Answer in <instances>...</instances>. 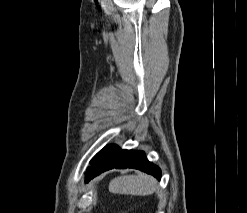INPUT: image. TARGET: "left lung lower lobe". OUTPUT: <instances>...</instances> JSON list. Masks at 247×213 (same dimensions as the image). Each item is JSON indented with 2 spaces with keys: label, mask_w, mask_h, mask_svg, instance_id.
Wrapping results in <instances>:
<instances>
[{
  "label": "left lung lower lobe",
  "mask_w": 247,
  "mask_h": 213,
  "mask_svg": "<svg viewBox=\"0 0 247 213\" xmlns=\"http://www.w3.org/2000/svg\"><path fill=\"white\" fill-rule=\"evenodd\" d=\"M90 164L85 182L113 168H135L151 174L158 180L161 178L160 169L147 160L143 151L121 150L116 145L104 147L92 158Z\"/></svg>",
  "instance_id": "0a47b994"
}]
</instances>
